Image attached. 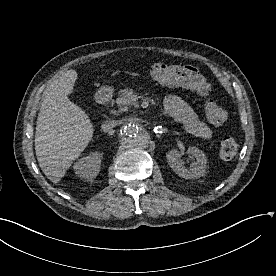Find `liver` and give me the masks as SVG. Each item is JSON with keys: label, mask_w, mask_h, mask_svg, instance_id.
I'll return each mask as SVG.
<instances>
[{"label": "liver", "mask_w": 276, "mask_h": 276, "mask_svg": "<svg viewBox=\"0 0 276 276\" xmlns=\"http://www.w3.org/2000/svg\"><path fill=\"white\" fill-rule=\"evenodd\" d=\"M76 70L62 73L43 92L35 132V151L45 176L57 184L94 133L93 125L68 98L77 80Z\"/></svg>", "instance_id": "liver-1"}]
</instances>
